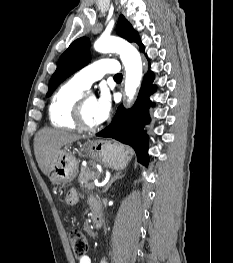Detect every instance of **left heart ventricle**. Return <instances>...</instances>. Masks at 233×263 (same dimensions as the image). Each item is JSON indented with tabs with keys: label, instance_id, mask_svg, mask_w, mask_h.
Wrapping results in <instances>:
<instances>
[{
	"label": "left heart ventricle",
	"instance_id": "b2bd125f",
	"mask_svg": "<svg viewBox=\"0 0 233 263\" xmlns=\"http://www.w3.org/2000/svg\"><path fill=\"white\" fill-rule=\"evenodd\" d=\"M95 99L91 96L84 97V107H83V116L87 124L96 125L93 120V107H94Z\"/></svg>",
	"mask_w": 233,
	"mask_h": 263
}]
</instances>
